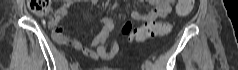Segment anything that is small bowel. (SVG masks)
<instances>
[{
  "mask_svg": "<svg viewBox=\"0 0 238 70\" xmlns=\"http://www.w3.org/2000/svg\"><path fill=\"white\" fill-rule=\"evenodd\" d=\"M91 3H96L97 0H90ZM155 8L152 9L149 13L141 15L137 11H133L131 13L132 19L134 21H144L145 19H157L164 18L168 16L173 8L176 5L175 0H150ZM73 3V0H65L63 5L58 9L57 16L55 19L49 22V27L53 28V37L54 39L65 45H69L74 47L75 49L81 51L85 56H89L94 59L102 58V59H111L119 50L118 44L113 42L110 50L107 49V42L114 28V23L111 18L104 17L102 19V29L100 33L89 42L90 46H97V51H91L87 46L82 43L72 40L68 36L65 35L63 29L57 27V24L61 18L69 16V7ZM132 28V22L128 21L125 23L123 27L124 33H129Z\"/></svg>",
  "mask_w": 238,
  "mask_h": 70,
  "instance_id": "1",
  "label": "small bowel"
}]
</instances>
